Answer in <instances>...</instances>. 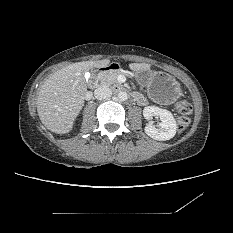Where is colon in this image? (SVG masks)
Here are the masks:
<instances>
[{"label":"colon","mask_w":233,"mask_h":233,"mask_svg":"<svg viewBox=\"0 0 233 233\" xmlns=\"http://www.w3.org/2000/svg\"><path fill=\"white\" fill-rule=\"evenodd\" d=\"M176 109L179 113L177 119V129L178 131L185 130L190 124V114L192 113V105L184 100L179 101L176 104Z\"/></svg>","instance_id":"obj_1"}]
</instances>
